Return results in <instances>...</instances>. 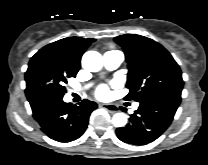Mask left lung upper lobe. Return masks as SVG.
<instances>
[{
  "mask_svg": "<svg viewBox=\"0 0 208 165\" xmlns=\"http://www.w3.org/2000/svg\"><path fill=\"white\" fill-rule=\"evenodd\" d=\"M123 47L128 63L127 100L143 102L153 97H181L182 73L171 54L154 40L135 34L115 37Z\"/></svg>",
  "mask_w": 208,
  "mask_h": 165,
  "instance_id": "obj_1",
  "label": "left lung upper lobe"
}]
</instances>
